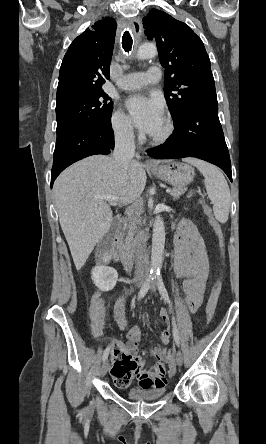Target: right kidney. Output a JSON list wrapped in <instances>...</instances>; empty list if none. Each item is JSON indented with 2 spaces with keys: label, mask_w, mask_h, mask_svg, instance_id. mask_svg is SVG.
<instances>
[{
  "label": "right kidney",
  "mask_w": 266,
  "mask_h": 444,
  "mask_svg": "<svg viewBox=\"0 0 266 444\" xmlns=\"http://www.w3.org/2000/svg\"><path fill=\"white\" fill-rule=\"evenodd\" d=\"M111 259L110 255L106 253L102 261L104 263H107ZM92 280L94 284L104 292L110 291L114 288L116 285L117 279H118V273L117 271L109 266L106 265H98L94 267L92 270Z\"/></svg>",
  "instance_id": "obj_1"
}]
</instances>
